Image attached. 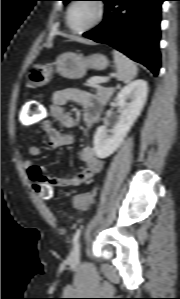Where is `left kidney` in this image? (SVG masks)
I'll list each match as a JSON object with an SVG mask.
<instances>
[{"label":"left kidney","instance_id":"5707ae66","mask_svg":"<svg viewBox=\"0 0 180 299\" xmlns=\"http://www.w3.org/2000/svg\"><path fill=\"white\" fill-rule=\"evenodd\" d=\"M148 94L144 80H136L124 87L115 101L120 112L116 125L110 131L100 126L94 135V151L98 158L104 159L113 154L140 115ZM108 132L111 134L108 135Z\"/></svg>","mask_w":180,"mask_h":299}]
</instances>
